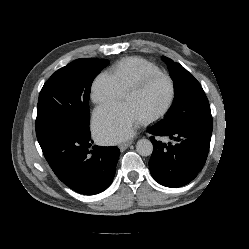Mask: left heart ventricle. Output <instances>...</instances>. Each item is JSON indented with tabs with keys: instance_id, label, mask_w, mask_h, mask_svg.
Masks as SVG:
<instances>
[{
	"instance_id": "b2bd125f",
	"label": "left heart ventricle",
	"mask_w": 249,
	"mask_h": 249,
	"mask_svg": "<svg viewBox=\"0 0 249 249\" xmlns=\"http://www.w3.org/2000/svg\"><path fill=\"white\" fill-rule=\"evenodd\" d=\"M170 92L169 82L159 78L141 91L127 94L123 101L129 104L141 119H144L157 113L166 105Z\"/></svg>"
}]
</instances>
